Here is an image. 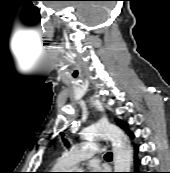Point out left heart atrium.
Listing matches in <instances>:
<instances>
[{"label": "left heart atrium", "instance_id": "obj_1", "mask_svg": "<svg viewBox=\"0 0 170 173\" xmlns=\"http://www.w3.org/2000/svg\"><path fill=\"white\" fill-rule=\"evenodd\" d=\"M89 169H90L91 173H100L101 172V168L96 165H92Z\"/></svg>", "mask_w": 170, "mask_h": 173}]
</instances>
